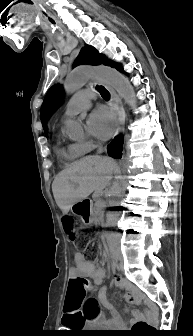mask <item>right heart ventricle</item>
<instances>
[{
	"instance_id": "1",
	"label": "right heart ventricle",
	"mask_w": 193,
	"mask_h": 336,
	"mask_svg": "<svg viewBox=\"0 0 193 336\" xmlns=\"http://www.w3.org/2000/svg\"><path fill=\"white\" fill-rule=\"evenodd\" d=\"M57 154L61 160L66 162H73L82 157L85 152L83 151L80 143H70L67 145H59Z\"/></svg>"
}]
</instances>
